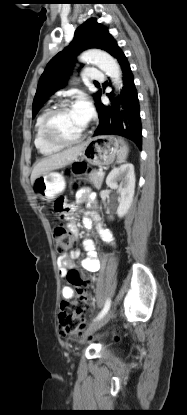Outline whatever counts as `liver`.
<instances>
[{"instance_id": "liver-1", "label": "liver", "mask_w": 187, "mask_h": 415, "mask_svg": "<svg viewBox=\"0 0 187 415\" xmlns=\"http://www.w3.org/2000/svg\"><path fill=\"white\" fill-rule=\"evenodd\" d=\"M83 149L84 145L82 144L43 158L33 168L31 173V183L33 184L34 181L43 174L73 163Z\"/></svg>"}]
</instances>
